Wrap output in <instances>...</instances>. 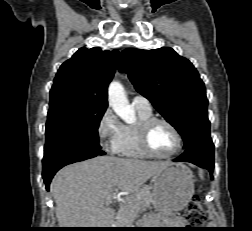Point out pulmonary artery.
Segmentation results:
<instances>
[{
	"instance_id": "e3ab8cb5",
	"label": "pulmonary artery",
	"mask_w": 252,
	"mask_h": 231,
	"mask_svg": "<svg viewBox=\"0 0 252 231\" xmlns=\"http://www.w3.org/2000/svg\"><path fill=\"white\" fill-rule=\"evenodd\" d=\"M132 105L136 108L144 110H151V104L149 100L141 95H136L132 99Z\"/></svg>"
}]
</instances>
